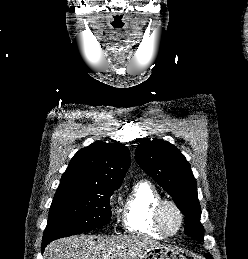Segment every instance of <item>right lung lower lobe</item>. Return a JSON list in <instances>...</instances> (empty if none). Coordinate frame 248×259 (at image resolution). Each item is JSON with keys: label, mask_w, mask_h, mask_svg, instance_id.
I'll list each match as a JSON object with an SVG mask.
<instances>
[{"label": "right lung lower lobe", "mask_w": 248, "mask_h": 259, "mask_svg": "<svg viewBox=\"0 0 248 259\" xmlns=\"http://www.w3.org/2000/svg\"><path fill=\"white\" fill-rule=\"evenodd\" d=\"M51 242L50 240H42V252L44 251L45 247L47 246V244Z\"/></svg>", "instance_id": "right-lung-lower-lobe-1"}]
</instances>
